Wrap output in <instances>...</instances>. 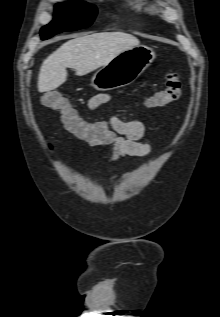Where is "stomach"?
Segmentation results:
<instances>
[{
    "label": "stomach",
    "mask_w": 220,
    "mask_h": 317,
    "mask_svg": "<svg viewBox=\"0 0 220 317\" xmlns=\"http://www.w3.org/2000/svg\"><path fill=\"white\" fill-rule=\"evenodd\" d=\"M153 50L139 45L121 52L92 77L91 85L100 91L112 90L133 83L152 63Z\"/></svg>",
    "instance_id": "0dacf381"
}]
</instances>
